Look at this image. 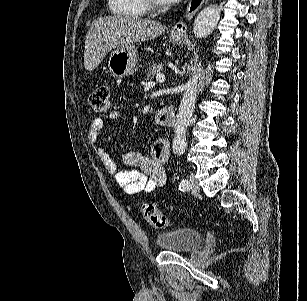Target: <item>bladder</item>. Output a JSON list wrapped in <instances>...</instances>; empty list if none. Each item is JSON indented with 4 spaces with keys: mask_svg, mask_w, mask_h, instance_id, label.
Wrapping results in <instances>:
<instances>
[{
    "mask_svg": "<svg viewBox=\"0 0 307 301\" xmlns=\"http://www.w3.org/2000/svg\"><path fill=\"white\" fill-rule=\"evenodd\" d=\"M203 239V233L190 228L156 235L157 245L164 251L189 252L196 249L203 242Z\"/></svg>",
    "mask_w": 307,
    "mask_h": 301,
    "instance_id": "1",
    "label": "bladder"
}]
</instances>
